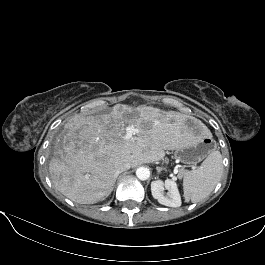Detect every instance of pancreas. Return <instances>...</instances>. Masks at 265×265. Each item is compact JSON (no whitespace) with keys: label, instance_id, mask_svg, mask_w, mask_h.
Listing matches in <instances>:
<instances>
[{"label":"pancreas","instance_id":"obj_1","mask_svg":"<svg viewBox=\"0 0 265 265\" xmlns=\"http://www.w3.org/2000/svg\"><path fill=\"white\" fill-rule=\"evenodd\" d=\"M185 172V170H183V169H181L180 171H179V174H178V176L179 177H181L182 176V174Z\"/></svg>","mask_w":265,"mask_h":265}]
</instances>
